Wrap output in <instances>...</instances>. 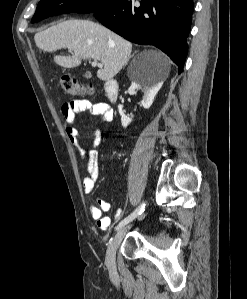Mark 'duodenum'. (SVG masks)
I'll return each instance as SVG.
<instances>
[{
  "mask_svg": "<svg viewBox=\"0 0 247 299\" xmlns=\"http://www.w3.org/2000/svg\"><path fill=\"white\" fill-rule=\"evenodd\" d=\"M105 93L111 102H115L119 95V85L115 80H108L105 83Z\"/></svg>",
  "mask_w": 247,
  "mask_h": 299,
  "instance_id": "duodenum-1",
  "label": "duodenum"
}]
</instances>
